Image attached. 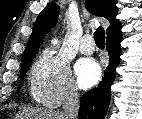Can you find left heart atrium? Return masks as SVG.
Listing matches in <instances>:
<instances>
[{"label":"left heart atrium","instance_id":"left-heart-atrium-1","mask_svg":"<svg viewBox=\"0 0 142 119\" xmlns=\"http://www.w3.org/2000/svg\"><path fill=\"white\" fill-rule=\"evenodd\" d=\"M76 76L80 87L89 88L101 77L100 66L92 59H83L76 66Z\"/></svg>","mask_w":142,"mask_h":119}]
</instances>
